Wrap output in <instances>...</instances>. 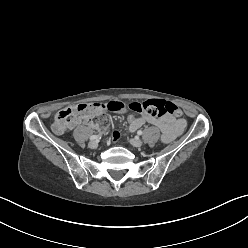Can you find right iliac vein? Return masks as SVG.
<instances>
[{
    "label": "right iliac vein",
    "mask_w": 248,
    "mask_h": 248,
    "mask_svg": "<svg viewBox=\"0 0 248 248\" xmlns=\"http://www.w3.org/2000/svg\"><path fill=\"white\" fill-rule=\"evenodd\" d=\"M88 146H89V148H91V149H95V148H97V146H98V142L95 141V140H92V141L89 142Z\"/></svg>",
    "instance_id": "63e3f726"
}]
</instances>
